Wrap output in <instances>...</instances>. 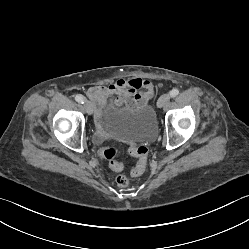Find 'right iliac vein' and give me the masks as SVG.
<instances>
[{
	"mask_svg": "<svg viewBox=\"0 0 249 249\" xmlns=\"http://www.w3.org/2000/svg\"><path fill=\"white\" fill-rule=\"evenodd\" d=\"M84 108L89 115L93 113V105L90 101L88 100L84 101Z\"/></svg>",
	"mask_w": 249,
	"mask_h": 249,
	"instance_id": "obj_1",
	"label": "right iliac vein"
}]
</instances>
